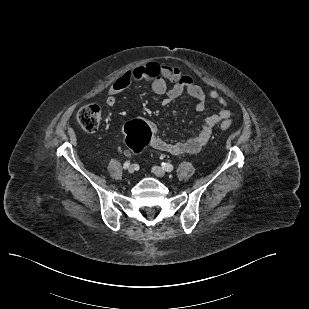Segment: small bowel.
Returning <instances> with one entry per match:
<instances>
[{"mask_svg": "<svg viewBox=\"0 0 309 309\" xmlns=\"http://www.w3.org/2000/svg\"><path fill=\"white\" fill-rule=\"evenodd\" d=\"M139 81L148 82L155 94L165 96V103H169L186 93L197 101L196 110L199 112L205 109L208 98L219 106L218 113L207 117L202 127L184 141L168 142L158 135L155 123L146 122L151 131L150 146L156 150L172 155L198 153L210 139L213 128L222 121L229 120L233 115L226 99L219 92L211 90L206 93L191 76L182 74L175 67L158 63L138 66L116 79L108 89L106 104L110 107L114 106L117 96L133 82ZM168 82L172 85L169 86Z\"/></svg>", "mask_w": 309, "mask_h": 309, "instance_id": "c3829d8e", "label": "small bowel"}]
</instances>
